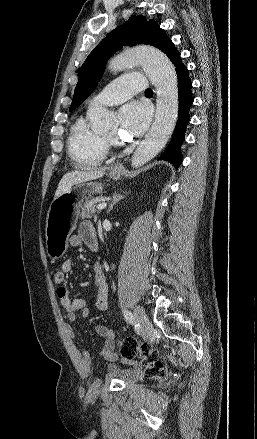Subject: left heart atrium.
<instances>
[{
  "label": "left heart atrium",
  "instance_id": "39dd6f15",
  "mask_svg": "<svg viewBox=\"0 0 257 439\" xmlns=\"http://www.w3.org/2000/svg\"><path fill=\"white\" fill-rule=\"evenodd\" d=\"M151 118L149 107L138 101L123 106L119 111L122 135L133 139L139 137L146 130Z\"/></svg>",
  "mask_w": 257,
  "mask_h": 439
}]
</instances>
